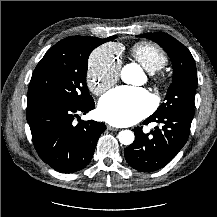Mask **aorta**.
Listing matches in <instances>:
<instances>
[{
	"label": "aorta",
	"mask_w": 217,
	"mask_h": 217,
	"mask_svg": "<svg viewBox=\"0 0 217 217\" xmlns=\"http://www.w3.org/2000/svg\"><path fill=\"white\" fill-rule=\"evenodd\" d=\"M142 70L134 63L127 64L123 67L121 72L122 80L127 84H138L141 78ZM118 139L121 144L130 145L133 143L135 136L131 130H122L118 134Z\"/></svg>",
	"instance_id": "aorta-1"
}]
</instances>
